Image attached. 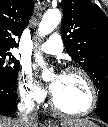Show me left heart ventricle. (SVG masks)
I'll use <instances>...</instances> for the list:
<instances>
[{"label": "left heart ventricle", "mask_w": 108, "mask_h": 127, "mask_svg": "<svg viewBox=\"0 0 108 127\" xmlns=\"http://www.w3.org/2000/svg\"><path fill=\"white\" fill-rule=\"evenodd\" d=\"M54 79H57V82L53 94L59 107L68 112H80L88 107L89 89L81 75L60 74L54 76Z\"/></svg>", "instance_id": "left-heart-ventricle-1"}]
</instances>
